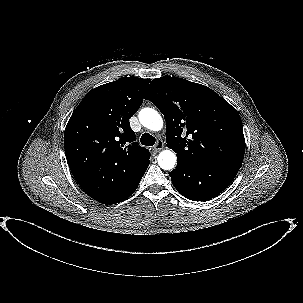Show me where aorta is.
<instances>
[{
	"label": "aorta",
	"mask_w": 303,
	"mask_h": 303,
	"mask_svg": "<svg viewBox=\"0 0 303 303\" xmlns=\"http://www.w3.org/2000/svg\"><path fill=\"white\" fill-rule=\"evenodd\" d=\"M140 123L149 130L159 131L163 127V119L160 114L152 108H144L139 112ZM158 164L163 170H171L177 161L175 153L171 150H163L160 152Z\"/></svg>",
	"instance_id": "aorta-1"
}]
</instances>
